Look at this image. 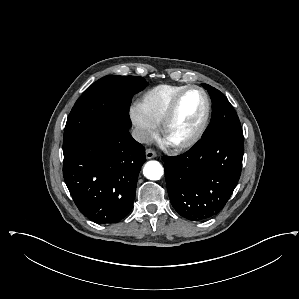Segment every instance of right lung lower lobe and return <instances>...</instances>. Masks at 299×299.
Wrapping results in <instances>:
<instances>
[{
    "label": "right lung lower lobe",
    "instance_id": "98d812e1",
    "mask_svg": "<svg viewBox=\"0 0 299 299\" xmlns=\"http://www.w3.org/2000/svg\"><path fill=\"white\" fill-rule=\"evenodd\" d=\"M144 162V147L128 127L116 126L64 156L63 175L81 213L96 223H115L132 209Z\"/></svg>",
    "mask_w": 299,
    "mask_h": 299
}]
</instances>
